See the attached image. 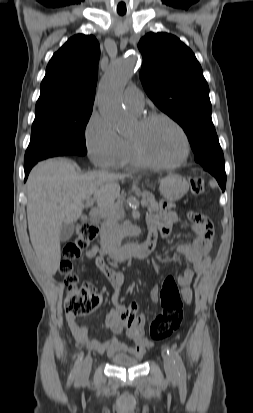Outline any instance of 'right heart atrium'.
Returning a JSON list of instances; mask_svg holds the SVG:
<instances>
[{
  "label": "right heart atrium",
  "instance_id": "right-heart-atrium-1",
  "mask_svg": "<svg viewBox=\"0 0 253 413\" xmlns=\"http://www.w3.org/2000/svg\"><path fill=\"white\" fill-rule=\"evenodd\" d=\"M85 142L95 166L106 169L117 165L124 146L123 138L98 112H93L87 122Z\"/></svg>",
  "mask_w": 253,
  "mask_h": 413
}]
</instances>
